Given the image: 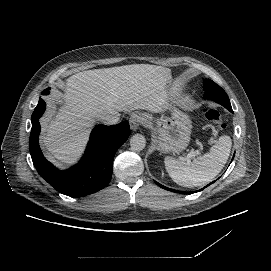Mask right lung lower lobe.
<instances>
[{
	"label": "right lung lower lobe",
	"mask_w": 271,
	"mask_h": 271,
	"mask_svg": "<svg viewBox=\"0 0 271 271\" xmlns=\"http://www.w3.org/2000/svg\"><path fill=\"white\" fill-rule=\"evenodd\" d=\"M48 93L49 88L42 92L43 95ZM45 108L44 100L39 99L31 117L29 139L32 161L39 175L58 192L71 197L86 196L105 188L112 176L114 155L129 137L128 121L114 126L95 127L80 163L62 172L45 159L39 147V118Z\"/></svg>",
	"instance_id": "98d812e1"
}]
</instances>
